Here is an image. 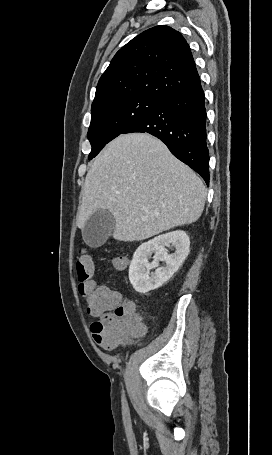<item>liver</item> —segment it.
Instances as JSON below:
<instances>
[{"label":"liver","mask_w":272,"mask_h":455,"mask_svg":"<svg viewBox=\"0 0 272 455\" xmlns=\"http://www.w3.org/2000/svg\"><path fill=\"white\" fill-rule=\"evenodd\" d=\"M207 191L202 180L147 133L111 141L94 160L82 188L77 226L99 210L115 218L113 238L132 242L197 221Z\"/></svg>","instance_id":"6515ba94"}]
</instances>
